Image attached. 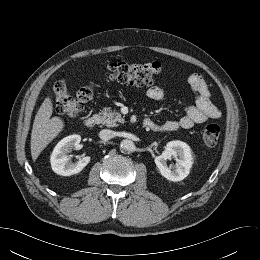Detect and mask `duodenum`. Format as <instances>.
<instances>
[{
    "mask_svg": "<svg viewBox=\"0 0 260 260\" xmlns=\"http://www.w3.org/2000/svg\"><path fill=\"white\" fill-rule=\"evenodd\" d=\"M98 117L97 116H90V117H87L85 120H84V126L86 128H93L97 125L98 123ZM143 127L144 128H149L151 129L153 127V122L149 119H145L142 123Z\"/></svg>",
    "mask_w": 260,
    "mask_h": 260,
    "instance_id": "410a0bca",
    "label": "duodenum"
}]
</instances>
